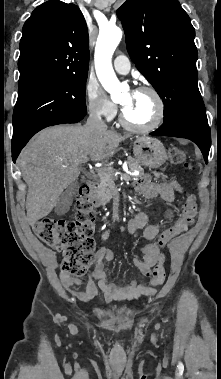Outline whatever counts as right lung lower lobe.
<instances>
[{
	"instance_id": "1",
	"label": "right lung lower lobe",
	"mask_w": 221,
	"mask_h": 379,
	"mask_svg": "<svg viewBox=\"0 0 221 379\" xmlns=\"http://www.w3.org/2000/svg\"><path fill=\"white\" fill-rule=\"evenodd\" d=\"M85 115L77 116V117H67L59 122V124L62 123H76L79 122L84 118ZM28 142V140H25L23 142H17V143H12V159L15 162L17 156L19 155L21 149L25 146V144Z\"/></svg>"
}]
</instances>
